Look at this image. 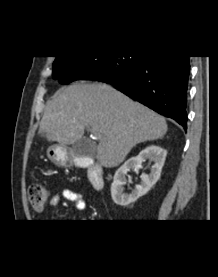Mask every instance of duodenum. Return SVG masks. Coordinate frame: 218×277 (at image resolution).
<instances>
[{
    "label": "duodenum",
    "mask_w": 218,
    "mask_h": 277,
    "mask_svg": "<svg viewBox=\"0 0 218 277\" xmlns=\"http://www.w3.org/2000/svg\"><path fill=\"white\" fill-rule=\"evenodd\" d=\"M76 164L79 167L87 168L88 180L94 189L100 190L103 188L104 174L100 164L95 163L88 158H79L77 159Z\"/></svg>",
    "instance_id": "duodenum-1"
}]
</instances>
